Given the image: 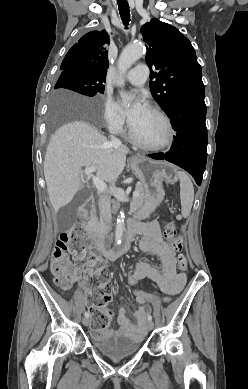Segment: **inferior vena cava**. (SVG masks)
Wrapping results in <instances>:
<instances>
[{"instance_id": "obj_1", "label": "inferior vena cava", "mask_w": 248, "mask_h": 389, "mask_svg": "<svg viewBox=\"0 0 248 389\" xmlns=\"http://www.w3.org/2000/svg\"><path fill=\"white\" fill-rule=\"evenodd\" d=\"M111 144L113 146H121V141L116 138L113 134L111 135ZM99 208L101 212V216L104 219V221L109 225L111 223V207H110V199L102 195L99 199Z\"/></svg>"}]
</instances>
